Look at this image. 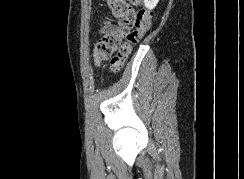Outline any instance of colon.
I'll return each instance as SVG.
<instances>
[{"label": "colon", "mask_w": 244, "mask_h": 179, "mask_svg": "<svg viewBox=\"0 0 244 179\" xmlns=\"http://www.w3.org/2000/svg\"><path fill=\"white\" fill-rule=\"evenodd\" d=\"M134 3H139V0L109 1L118 31L105 34L94 47V61L97 65L114 54L110 61L112 73H117L123 68L133 47L140 42L152 25L153 11L147 8L137 11Z\"/></svg>", "instance_id": "colon-1"}]
</instances>
